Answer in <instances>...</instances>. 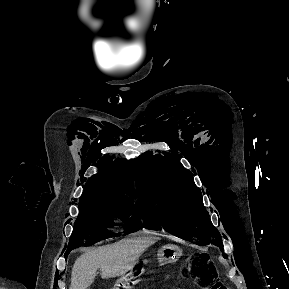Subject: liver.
Masks as SVG:
<instances>
[{
    "mask_svg": "<svg viewBox=\"0 0 289 289\" xmlns=\"http://www.w3.org/2000/svg\"><path fill=\"white\" fill-rule=\"evenodd\" d=\"M154 242V238L123 239L81 255L73 265L69 289H87L99 268L103 279L122 276Z\"/></svg>",
    "mask_w": 289,
    "mask_h": 289,
    "instance_id": "obj_1",
    "label": "liver"
}]
</instances>
